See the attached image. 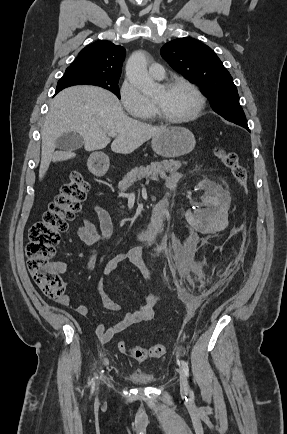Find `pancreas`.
<instances>
[{"instance_id":"obj_1","label":"pancreas","mask_w":287,"mask_h":434,"mask_svg":"<svg viewBox=\"0 0 287 434\" xmlns=\"http://www.w3.org/2000/svg\"><path fill=\"white\" fill-rule=\"evenodd\" d=\"M186 164V162H183ZM179 161L163 160L160 162H152L146 167L140 166L132 169L128 172L118 184V189L121 192L127 191V189L134 184V182L143 178H149L152 180H158L159 177L164 178L166 173H175L181 167Z\"/></svg>"}]
</instances>
